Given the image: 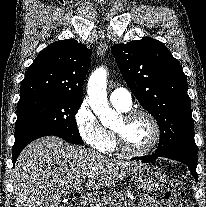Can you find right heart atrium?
Returning a JSON list of instances; mask_svg holds the SVG:
<instances>
[{
    "label": "right heart atrium",
    "mask_w": 206,
    "mask_h": 207,
    "mask_svg": "<svg viewBox=\"0 0 206 207\" xmlns=\"http://www.w3.org/2000/svg\"><path fill=\"white\" fill-rule=\"evenodd\" d=\"M74 122L80 137L88 146L99 151H107L108 134L86 99L76 109Z\"/></svg>",
    "instance_id": "obj_1"
}]
</instances>
